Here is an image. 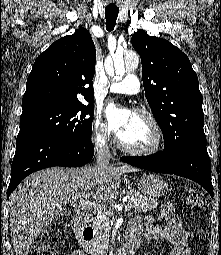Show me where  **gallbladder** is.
<instances>
[{
  "label": "gallbladder",
  "instance_id": "bac80fb5",
  "mask_svg": "<svg viewBox=\"0 0 221 255\" xmlns=\"http://www.w3.org/2000/svg\"><path fill=\"white\" fill-rule=\"evenodd\" d=\"M68 214H69V212L66 211V210H61L60 211V215H68Z\"/></svg>",
  "mask_w": 221,
  "mask_h": 255
}]
</instances>
